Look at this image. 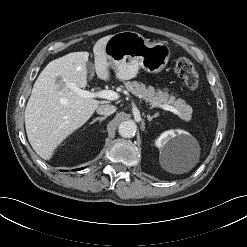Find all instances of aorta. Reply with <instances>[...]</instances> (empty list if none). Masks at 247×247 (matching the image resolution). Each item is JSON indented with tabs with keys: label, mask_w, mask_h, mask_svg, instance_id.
<instances>
[{
	"label": "aorta",
	"mask_w": 247,
	"mask_h": 247,
	"mask_svg": "<svg viewBox=\"0 0 247 247\" xmlns=\"http://www.w3.org/2000/svg\"><path fill=\"white\" fill-rule=\"evenodd\" d=\"M137 126L132 120L123 121L118 126V133L125 138H131L135 135Z\"/></svg>",
	"instance_id": "aorta-1"
}]
</instances>
